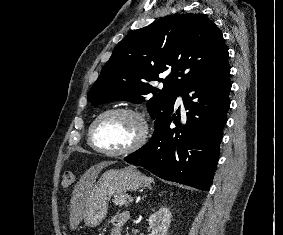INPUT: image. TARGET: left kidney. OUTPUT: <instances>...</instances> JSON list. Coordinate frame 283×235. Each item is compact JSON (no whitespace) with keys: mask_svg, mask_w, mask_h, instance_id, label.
I'll return each instance as SVG.
<instances>
[{"mask_svg":"<svg viewBox=\"0 0 283 235\" xmlns=\"http://www.w3.org/2000/svg\"><path fill=\"white\" fill-rule=\"evenodd\" d=\"M151 233L149 235H167L171 223V212L166 207H161L151 214L148 219Z\"/></svg>","mask_w":283,"mask_h":235,"instance_id":"obj_1","label":"left kidney"}]
</instances>
